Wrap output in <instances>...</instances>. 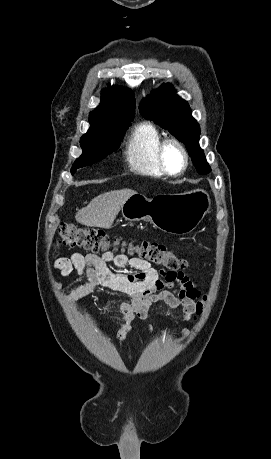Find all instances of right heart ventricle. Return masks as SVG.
<instances>
[{
    "instance_id": "1",
    "label": "right heart ventricle",
    "mask_w": 271,
    "mask_h": 459,
    "mask_svg": "<svg viewBox=\"0 0 271 459\" xmlns=\"http://www.w3.org/2000/svg\"><path fill=\"white\" fill-rule=\"evenodd\" d=\"M162 138L161 130L148 121L138 123L132 129L124 152L131 171L152 178L167 177L157 159V147Z\"/></svg>"
}]
</instances>
